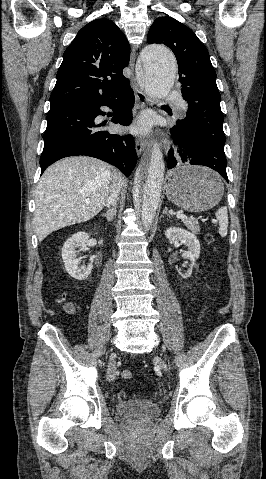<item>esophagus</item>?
Wrapping results in <instances>:
<instances>
[{
    "label": "esophagus",
    "mask_w": 266,
    "mask_h": 479,
    "mask_svg": "<svg viewBox=\"0 0 266 479\" xmlns=\"http://www.w3.org/2000/svg\"><path fill=\"white\" fill-rule=\"evenodd\" d=\"M134 61H135V53L133 51L131 55V60H130V67L131 69L134 68ZM131 87L134 91L135 98L138 103V108L141 111L147 104H148V98L146 94L139 88V85L135 79L134 76L131 77L130 79ZM148 142L142 138V137H136L135 139V147L138 155H141V153L144 151L146 147H148Z\"/></svg>",
    "instance_id": "obj_1"
}]
</instances>
